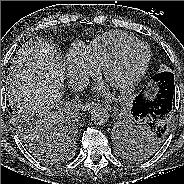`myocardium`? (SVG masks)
<instances>
[{"instance_id":"f54148a6","label":"myocardium","mask_w":184,"mask_h":184,"mask_svg":"<svg viewBox=\"0 0 184 184\" xmlns=\"http://www.w3.org/2000/svg\"><path fill=\"white\" fill-rule=\"evenodd\" d=\"M138 47L142 48L146 51L145 59L141 65V67L139 68V70L130 79H128L127 81H125L121 85L113 86L116 90H118L120 92H127V91L132 90L144 77L145 73L148 70L150 61H151L150 48L146 44H144L138 40L136 42L126 44V45L122 46L120 49H118L112 56H110L101 66L100 74L102 76H104L105 73L107 72V70L112 65L117 63L119 61V59H121L127 52H129L130 50H132L134 48H138Z\"/></svg>"}]
</instances>
